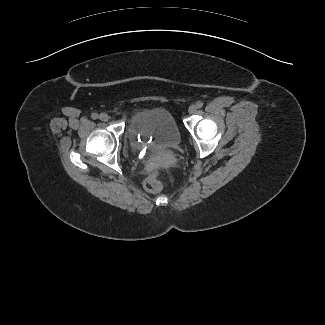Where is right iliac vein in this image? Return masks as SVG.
Instances as JSON below:
<instances>
[{"label": "right iliac vein", "instance_id": "right-iliac-vein-1", "mask_svg": "<svg viewBox=\"0 0 325 325\" xmlns=\"http://www.w3.org/2000/svg\"><path fill=\"white\" fill-rule=\"evenodd\" d=\"M99 119L102 120V121H108L109 116L106 113H101L99 115Z\"/></svg>", "mask_w": 325, "mask_h": 325}]
</instances>
